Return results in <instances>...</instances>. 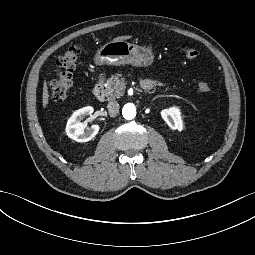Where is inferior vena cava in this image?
<instances>
[{
    "label": "inferior vena cava",
    "instance_id": "1",
    "mask_svg": "<svg viewBox=\"0 0 255 255\" xmlns=\"http://www.w3.org/2000/svg\"><path fill=\"white\" fill-rule=\"evenodd\" d=\"M109 115L115 117L119 112V104L117 101H110L107 105Z\"/></svg>",
    "mask_w": 255,
    "mask_h": 255
}]
</instances>
